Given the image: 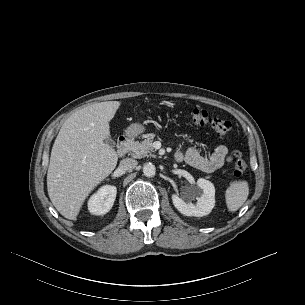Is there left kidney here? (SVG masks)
<instances>
[{
  "instance_id": "5707ae66",
  "label": "left kidney",
  "mask_w": 305,
  "mask_h": 305,
  "mask_svg": "<svg viewBox=\"0 0 305 305\" xmlns=\"http://www.w3.org/2000/svg\"><path fill=\"white\" fill-rule=\"evenodd\" d=\"M197 187L202 190L198 196H194L197 200L196 204L192 203L189 198H181L176 194L172 195V201L178 211L185 216L202 217L208 215L215 206V187L203 178H199L196 182Z\"/></svg>"
}]
</instances>
